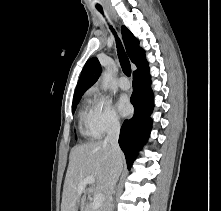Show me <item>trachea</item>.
<instances>
[{
  "mask_svg": "<svg viewBox=\"0 0 221 211\" xmlns=\"http://www.w3.org/2000/svg\"><path fill=\"white\" fill-rule=\"evenodd\" d=\"M98 11L103 14L102 8H98ZM110 28L115 36L117 52H118V57H119V62H120L121 68H122L124 74L129 77L131 75V65H130L129 59L124 51V48L121 44L120 39L116 35L115 30L112 27H110Z\"/></svg>",
  "mask_w": 221,
  "mask_h": 211,
  "instance_id": "1",
  "label": "trachea"
}]
</instances>
